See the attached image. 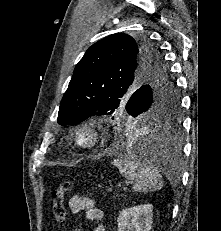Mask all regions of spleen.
Instances as JSON below:
<instances>
[{
    "mask_svg": "<svg viewBox=\"0 0 221 231\" xmlns=\"http://www.w3.org/2000/svg\"><path fill=\"white\" fill-rule=\"evenodd\" d=\"M112 165L118 168L123 177L133 181V189L136 192H154L163 187L162 176L154 165L146 161L141 162L133 155L114 159Z\"/></svg>",
    "mask_w": 221,
    "mask_h": 231,
    "instance_id": "3e777b00",
    "label": "spleen"
}]
</instances>
